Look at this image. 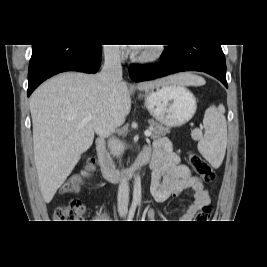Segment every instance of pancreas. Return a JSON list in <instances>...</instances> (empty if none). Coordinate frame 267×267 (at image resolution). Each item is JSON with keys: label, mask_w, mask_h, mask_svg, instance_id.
<instances>
[{"label": "pancreas", "mask_w": 267, "mask_h": 267, "mask_svg": "<svg viewBox=\"0 0 267 267\" xmlns=\"http://www.w3.org/2000/svg\"><path fill=\"white\" fill-rule=\"evenodd\" d=\"M149 123H150V127L153 130L152 138H154V139L158 138L160 136H164V135H166L167 133L170 132V128L169 127H165L160 123H157V122L152 121V120ZM108 160L112 164V160H111L110 157H108Z\"/></svg>", "instance_id": "pancreas-1"}]
</instances>
